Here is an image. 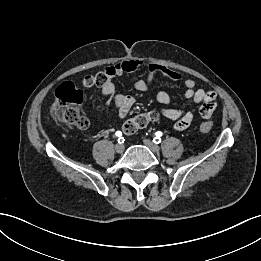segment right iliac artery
<instances>
[{
	"label": "right iliac artery",
	"instance_id": "82829eb1",
	"mask_svg": "<svg viewBox=\"0 0 261 261\" xmlns=\"http://www.w3.org/2000/svg\"><path fill=\"white\" fill-rule=\"evenodd\" d=\"M116 136L119 137V138H118V143H120V144L124 143V138L121 137V136H122L121 131H117V132H116Z\"/></svg>",
	"mask_w": 261,
	"mask_h": 261
}]
</instances>
